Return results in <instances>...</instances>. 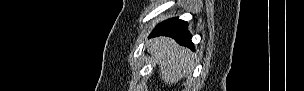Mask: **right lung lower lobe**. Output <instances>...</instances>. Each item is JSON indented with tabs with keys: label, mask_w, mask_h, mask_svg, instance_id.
Returning <instances> with one entry per match:
<instances>
[{
	"label": "right lung lower lobe",
	"mask_w": 304,
	"mask_h": 91,
	"mask_svg": "<svg viewBox=\"0 0 304 91\" xmlns=\"http://www.w3.org/2000/svg\"><path fill=\"white\" fill-rule=\"evenodd\" d=\"M169 36L175 39L180 45L187 46L194 50V45L191 41V35L187 30V23L172 18L160 23L151 33L149 37Z\"/></svg>",
	"instance_id": "obj_1"
}]
</instances>
